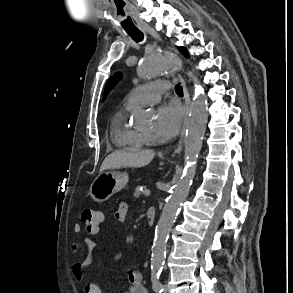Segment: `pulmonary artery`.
<instances>
[{"label": "pulmonary artery", "instance_id": "pulmonary-artery-1", "mask_svg": "<svg viewBox=\"0 0 293 293\" xmlns=\"http://www.w3.org/2000/svg\"><path fill=\"white\" fill-rule=\"evenodd\" d=\"M170 87L169 82L155 81L135 88L127 97L126 107L146 106L157 102Z\"/></svg>", "mask_w": 293, "mask_h": 293}]
</instances>
